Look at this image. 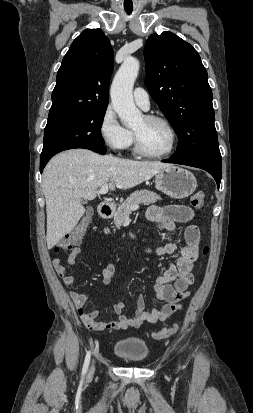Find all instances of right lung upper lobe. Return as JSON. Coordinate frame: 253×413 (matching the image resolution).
<instances>
[{"label": "right lung upper lobe", "instance_id": "cb5924a9", "mask_svg": "<svg viewBox=\"0 0 253 413\" xmlns=\"http://www.w3.org/2000/svg\"><path fill=\"white\" fill-rule=\"evenodd\" d=\"M113 49L100 29L84 30L62 60L49 115L108 106Z\"/></svg>", "mask_w": 253, "mask_h": 413}]
</instances>
